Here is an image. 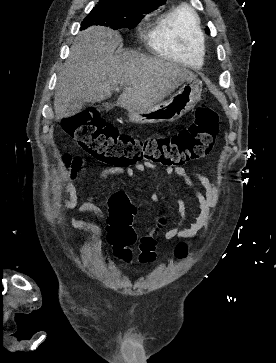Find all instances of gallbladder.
<instances>
[{"mask_svg": "<svg viewBox=\"0 0 276 363\" xmlns=\"http://www.w3.org/2000/svg\"><path fill=\"white\" fill-rule=\"evenodd\" d=\"M83 107V102L81 101H72L69 103L67 111L72 115H75L81 111Z\"/></svg>", "mask_w": 276, "mask_h": 363, "instance_id": "1", "label": "gallbladder"}]
</instances>
